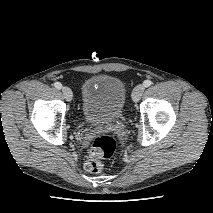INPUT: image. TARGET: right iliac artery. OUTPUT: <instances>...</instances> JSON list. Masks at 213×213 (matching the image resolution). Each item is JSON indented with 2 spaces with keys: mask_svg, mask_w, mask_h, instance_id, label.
<instances>
[{
  "mask_svg": "<svg viewBox=\"0 0 213 213\" xmlns=\"http://www.w3.org/2000/svg\"><path fill=\"white\" fill-rule=\"evenodd\" d=\"M55 88L57 89H61L62 88V84L60 82H55L54 83Z\"/></svg>",
  "mask_w": 213,
  "mask_h": 213,
  "instance_id": "82829eb1",
  "label": "right iliac artery"
}]
</instances>
